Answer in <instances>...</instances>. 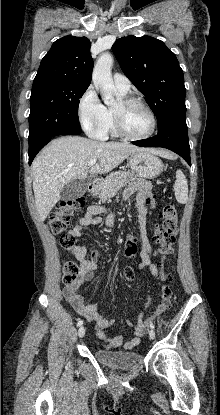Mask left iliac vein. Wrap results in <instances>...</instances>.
I'll return each instance as SVG.
<instances>
[{
	"label": "left iliac vein",
	"instance_id": "obj_1",
	"mask_svg": "<svg viewBox=\"0 0 220 415\" xmlns=\"http://www.w3.org/2000/svg\"><path fill=\"white\" fill-rule=\"evenodd\" d=\"M149 337H150V339H152V340L155 338V331H154V330H152V329H151V330L149 331Z\"/></svg>",
	"mask_w": 220,
	"mask_h": 415
}]
</instances>
